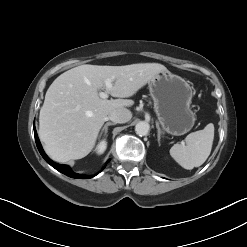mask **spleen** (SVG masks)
Returning a JSON list of instances; mask_svg holds the SVG:
<instances>
[{
    "label": "spleen",
    "mask_w": 247,
    "mask_h": 247,
    "mask_svg": "<svg viewBox=\"0 0 247 247\" xmlns=\"http://www.w3.org/2000/svg\"><path fill=\"white\" fill-rule=\"evenodd\" d=\"M213 139L214 125L209 123L203 130L187 135L186 144H174L170 149V155L183 168L191 170L206 161L212 149Z\"/></svg>",
    "instance_id": "3e777b00"
}]
</instances>
